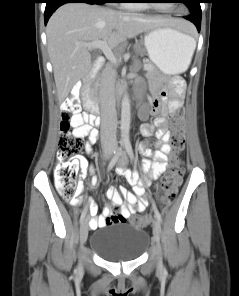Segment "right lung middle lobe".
Returning <instances> with one entry per match:
<instances>
[{
    "instance_id": "1",
    "label": "right lung middle lobe",
    "mask_w": 239,
    "mask_h": 296,
    "mask_svg": "<svg viewBox=\"0 0 239 296\" xmlns=\"http://www.w3.org/2000/svg\"><path fill=\"white\" fill-rule=\"evenodd\" d=\"M92 1L96 2V4H103L108 2L109 0H92Z\"/></svg>"
}]
</instances>
